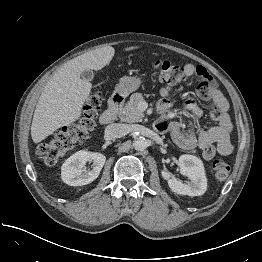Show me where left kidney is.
Instances as JSON below:
<instances>
[{
	"mask_svg": "<svg viewBox=\"0 0 262 262\" xmlns=\"http://www.w3.org/2000/svg\"><path fill=\"white\" fill-rule=\"evenodd\" d=\"M179 166L180 173L188 177L189 181L182 182L163 170L161 172L162 177L167 181L170 189L179 195H203L207 190V178L203 162L196 156L185 154L180 156Z\"/></svg>",
	"mask_w": 262,
	"mask_h": 262,
	"instance_id": "obj_1",
	"label": "left kidney"
}]
</instances>
